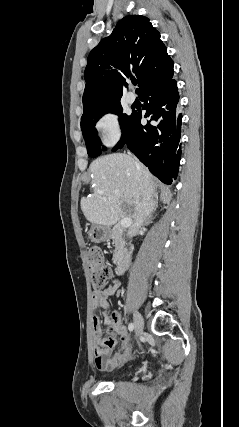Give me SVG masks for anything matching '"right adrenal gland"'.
Segmentation results:
<instances>
[{
    "label": "right adrenal gland",
    "instance_id": "right-adrenal-gland-1",
    "mask_svg": "<svg viewBox=\"0 0 239 427\" xmlns=\"http://www.w3.org/2000/svg\"><path fill=\"white\" fill-rule=\"evenodd\" d=\"M156 198L158 199V194H156ZM157 206V205H156Z\"/></svg>",
    "mask_w": 239,
    "mask_h": 427
}]
</instances>
